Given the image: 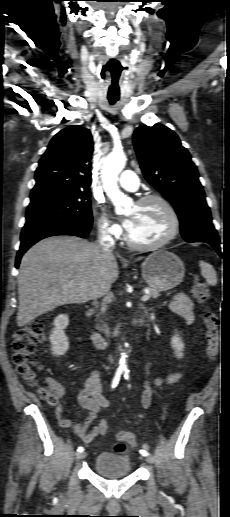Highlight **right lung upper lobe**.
<instances>
[{
  "label": "right lung upper lobe",
  "instance_id": "cb5924a9",
  "mask_svg": "<svg viewBox=\"0 0 230 517\" xmlns=\"http://www.w3.org/2000/svg\"><path fill=\"white\" fill-rule=\"evenodd\" d=\"M93 140L82 126H69L50 141L35 173L36 184L30 198L89 190Z\"/></svg>",
  "mask_w": 230,
  "mask_h": 517
}]
</instances>
